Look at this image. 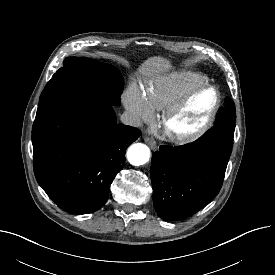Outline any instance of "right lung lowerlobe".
I'll list each match as a JSON object with an SVG mask.
<instances>
[{"instance_id":"98d812e1","label":"right lung lower lobe","mask_w":275,"mask_h":275,"mask_svg":"<svg viewBox=\"0 0 275 275\" xmlns=\"http://www.w3.org/2000/svg\"><path fill=\"white\" fill-rule=\"evenodd\" d=\"M141 135L117 124L112 105L72 98L35 119L33 168L37 182L66 212L99 210L125 164L126 149Z\"/></svg>"}]
</instances>
